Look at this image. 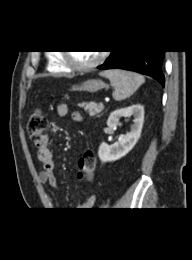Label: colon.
I'll return each mask as SVG.
<instances>
[{
  "label": "colon",
  "mask_w": 192,
  "mask_h": 260,
  "mask_svg": "<svg viewBox=\"0 0 192 260\" xmlns=\"http://www.w3.org/2000/svg\"><path fill=\"white\" fill-rule=\"evenodd\" d=\"M46 118L42 110H35L29 116L27 132L30 139L37 145L44 137ZM96 159L92 151H86L79 160L78 176L81 179H92L95 173Z\"/></svg>",
  "instance_id": "obj_1"
}]
</instances>
